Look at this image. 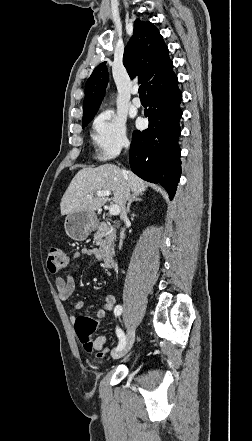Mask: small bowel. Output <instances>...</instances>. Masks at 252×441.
<instances>
[{
  "label": "small bowel",
  "instance_id": "obj_1",
  "mask_svg": "<svg viewBox=\"0 0 252 441\" xmlns=\"http://www.w3.org/2000/svg\"><path fill=\"white\" fill-rule=\"evenodd\" d=\"M82 255L97 257L98 251L94 248H82L80 251L75 252L73 254L71 260L74 261ZM55 284H56L58 296L61 300L68 299L73 294V292L75 290V281H74V278L70 275H67L65 277L64 276L56 277ZM115 304H116L115 294L108 293L104 297L102 308L96 312L95 316L98 318H101V319L105 318L106 312L115 309V307H116ZM83 305H84L83 301H81V300L76 301L72 305V309L74 311H78L83 307ZM106 341H107V337L104 335L97 337L93 342L95 349L103 350V347H104Z\"/></svg>",
  "mask_w": 252,
  "mask_h": 441
}]
</instances>
